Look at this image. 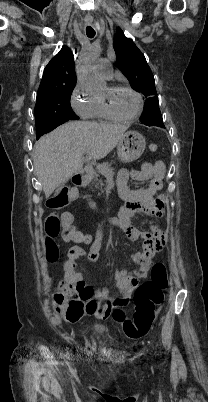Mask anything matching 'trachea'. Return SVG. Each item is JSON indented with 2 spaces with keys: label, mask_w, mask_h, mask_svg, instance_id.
Instances as JSON below:
<instances>
[{
  "label": "trachea",
  "mask_w": 208,
  "mask_h": 402,
  "mask_svg": "<svg viewBox=\"0 0 208 402\" xmlns=\"http://www.w3.org/2000/svg\"><path fill=\"white\" fill-rule=\"evenodd\" d=\"M86 34L89 38H93L95 36V30L92 27H86Z\"/></svg>",
  "instance_id": "1"
}]
</instances>
